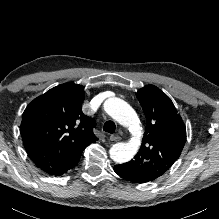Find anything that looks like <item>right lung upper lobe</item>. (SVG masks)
I'll list each match as a JSON object with an SVG mask.
<instances>
[{"mask_svg":"<svg viewBox=\"0 0 219 219\" xmlns=\"http://www.w3.org/2000/svg\"><path fill=\"white\" fill-rule=\"evenodd\" d=\"M81 85H58L33 100L21 123L24 147L32 161L46 173L78 163L82 151L98 140L96 121L83 114Z\"/></svg>","mask_w":219,"mask_h":219,"instance_id":"obj_1","label":"right lung upper lobe"}]
</instances>
